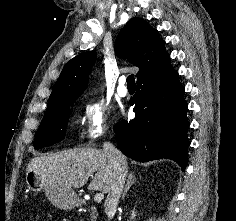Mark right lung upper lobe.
Here are the masks:
<instances>
[{
  "label": "right lung upper lobe",
  "mask_w": 236,
  "mask_h": 221,
  "mask_svg": "<svg viewBox=\"0 0 236 221\" xmlns=\"http://www.w3.org/2000/svg\"><path fill=\"white\" fill-rule=\"evenodd\" d=\"M164 44L157 30L143 19L134 17L119 33L115 52L139 67V80L156 71L169 58ZM95 60L96 52L88 51L77 55L64 66L50 95L47 111L77 99L84 92Z\"/></svg>",
  "instance_id": "cb5924a9"
}]
</instances>
